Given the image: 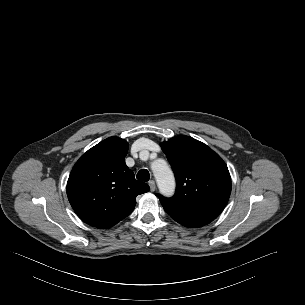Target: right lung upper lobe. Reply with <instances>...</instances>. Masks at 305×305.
I'll use <instances>...</instances> for the list:
<instances>
[{
  "label": "right lung upper lobe",
  "instance_id": "obj_1",
  "mask_svg": "<svg viewBox=\"0 0 305 305\" xmlns=\"http://www.w3.org/2000/svg\"><path fill=\"white\" fill-rule=\"evenodd\" d=\"M127 141L109 137L88 150L74 165L67 196L87 224L109 228L135 208L136 196L150 190L125 164Z\"/></svg>",
  "mask_w": 305,
  "mask_h": 305
}]
</instances>
